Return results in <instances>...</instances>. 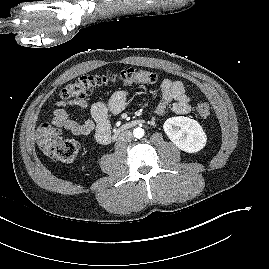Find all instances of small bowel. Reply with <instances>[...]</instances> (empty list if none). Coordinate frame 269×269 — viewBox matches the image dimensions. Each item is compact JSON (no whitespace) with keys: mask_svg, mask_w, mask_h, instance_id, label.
Listing matches in <instances>:
<instances>
[{"mask_svg":"<svg viewBox=\"0 0 269 269\" xmlns=\"http://www.w3.org/2000/svg\"><path fill=\"white\" fill-rule=\"evenodd\" d=\"M127 92L118 90L112 94L108 102H96L90 107V119L76 121L65 110L66 106H76L81 110L88 108L86 100H60L52 116V124L64 128L76 136H87L94 133L100 144H107L111 137L110 116L120 113L126 106ZM191 110L190 97L181 81L164 78L161 83L160 99L156 113L164 115L173 112L178 115L188 114Z\"/></svg>","mask_w":269,"mask_h":269,"instance_id":"obj_1","label":"small bowel"}]
</instances>
